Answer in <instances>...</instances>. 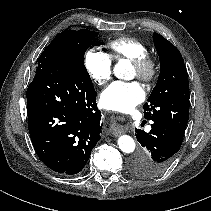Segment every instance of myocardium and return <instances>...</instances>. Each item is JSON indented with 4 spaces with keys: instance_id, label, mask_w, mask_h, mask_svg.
Listing matches in <instances>:
<instances>
[{
    "instance_id": "1",
    "label": "myocardium",
    "mask_w": 211,
    "mask_h": 211,
    "mask_svg": "<svg viewBox=\"0 0 211 211\" xmlns=\"http://www.w3.org/2000/svg\"><path fill=\"white\" fill-rule=\"evenodd\" d=\"M136 75L144 82L151 83L157 76V60L150 55H143L132 60Z\"/></svg>"
}]
</instances>
